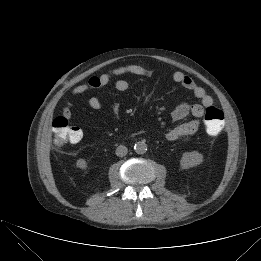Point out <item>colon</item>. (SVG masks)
I'll list each match as a JSON object with an SVG mask.
<instances>
[{
	"mask_svg": "<svg viewBox=\"0 0 261 261\" xmlns=\"http://www.w3.org/2000/svg\"><path fill=\"white\" fill-rule=\"evenodd\" d=\"M203 119L208 134L217 135L221 132L224 125V114L219 108L212 105L207 107ZM52 129L54 144L57 147L78 143L82 138L81 130L78 127L70 126L68 120L63 116L53 120Z\"/></svg>",
	"mask_w": 261,
	"mask_h": 261,
	"instance_id": "obj_1",
	"label": "colon"
}]
</instances>
